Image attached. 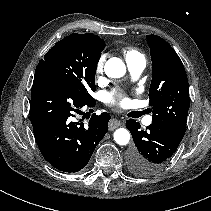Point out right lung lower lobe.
<instances>
[{
  "instance_id": "1",
  "label": "right lung lower lobe",
  "mask_w": 211,
  "mask_h": 211,
  "mask_svg": "<svg viewBox=\"0 0 211 211\" xmlns=\"http://www.w3.org/2000/svg\"><path fill=\"white\" fill-rule=\"evenodd\" d=\"M95 101L73 85L52 75L35 73L31 89L30 120L37 145L46 161L63 172H78L90 160L108 131L110 115L93 114L89 124L75 122V115Z\"/></svg>"
}]
</instances>
